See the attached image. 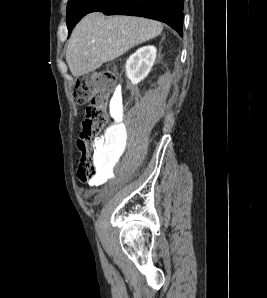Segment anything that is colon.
<instances>
[{"label":"colon","mask_w":267,"mask_h":298,"mask_svg":"<svg viewBox=\"0 0 267 298\" xmlns=\"http://www.w3.org/2000/svg\"><path fill=\"white\" fill-rule=\"evenodd\" d=\"M115 74L107 70L87 73L77 79L73 98L77 104L90 103L81 122L77 147L80 152L78 177L82 181L98 176L96 159L89 151V145H96L99 152L98 136L108 122L107 104L114 88Z\"/></svg>","instance_id":"obj_1"}]
</instances>
